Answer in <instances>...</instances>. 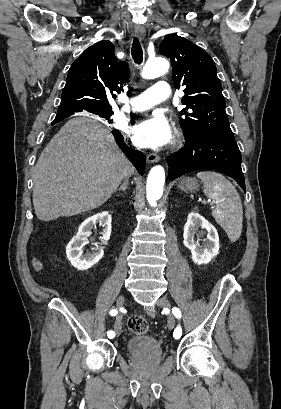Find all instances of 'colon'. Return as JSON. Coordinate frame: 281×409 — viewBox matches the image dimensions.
Instances as JSON below:
<instances>
[{"label": "colon", "mask_w": 281, "mask_h": 409, "mask_svg": "<svg viewBox=\"0 0 281 409\" xmlns=\"http://www.w3.org/2000/svg\"><path fill=\"white\" fill-rule=\"evenodd\" d=\"M128 324L131 330L137 334H143L148 329V323L140 315H133Z\"/></svg>", "instance_id": "1"}]
</instances>
